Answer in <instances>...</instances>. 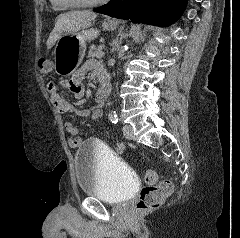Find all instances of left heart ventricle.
Instances as JSON below:
<instances>
[{
  "mask_svg": "<svg viewBox=\"0 0 240 238\" xmlns=\"http://www.w3.org/2000/svg\"><path fill=\"white\" fill-rule=\"evenodd\" d=\"M66 1H74V2H79V3H90V2H94L96 0H66Z\"/></svg>",
  "mask_w": 240,
  "mask_h": 238,
  "instance_id": "left-heart-ventricle-1",
  "label": "left heart ventricle"
}]
</instances>
